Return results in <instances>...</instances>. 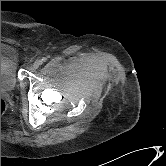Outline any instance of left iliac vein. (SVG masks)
Returning <instances> with one entry per match:
<instances>
[{
	"instance_id": "4c4485c4",
	"label": "left iliac vein",
	"mask_w": 166,
	"mask_h": 166,
	"mask_svg": "<svg viewBox=\"0 0 166 166\" xmlns=\"http://www.w3.org/2000/svg\"><path fill=\"white\" fill-rule=\"evenodd\" d=\"M40 65H41V60H36V61L33 63V67H34L35 69H37Z\"/></svg>"
}]
</instances>
